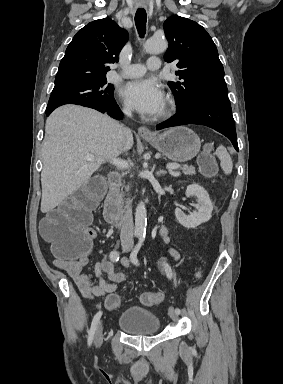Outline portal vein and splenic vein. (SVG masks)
I'll return each mask as SVG.
<instances>
[{
    "instance_id": "1",
    "label": "portal vein and splenic vein",
    "mask_w": 283,
    "mask_h": 384,
    "mask_svg": "<svg viewBox=\"0 0 283 384\" xmlns=\"http://www.w3.org/2000/svg\"><path fill=\"white\" fill-rule=\"evenodd\" d=\"M86 158L87 160H90V162H93L94 160L93 154H87ZM111 164L118 166V168H127L128 166L127 162H124V160H119V158H112ZM167 168L168 170H171V174L173 176L174 172H172V170H177V168H179V164H168ZM177 176H179V174H177Z\"/></svg>"
}]
</instances>
